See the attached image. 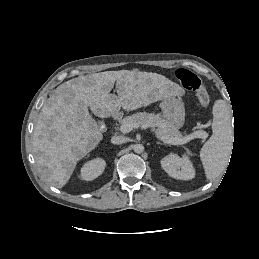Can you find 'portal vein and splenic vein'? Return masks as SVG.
<instances>
[{
	"instance_id": "portal-vein-and-splenic-vein-1",
	"label": "portal vein and splenic vein",
	"mask_w": 259,
	"mask_h": 259,
	"mask_svg": "<svg viewBox=\"0 0 259 259\" xmlns=\"http://www.w3.org/2000/svg\"><path fill=\"white\" fill-rule=\"evenodd\" d=\"M135 127H136V125L133 123H126V124L121 125L120 131L124 134L129 133ZM195 137L206 139L208 137V134L205 131H202V132L193 133V134L188 135L183 138H170L167 136H158L159 139L163 140L164 142H166L168 144H172V145L185 144Z\"/></svg>"
}]
</instances>
